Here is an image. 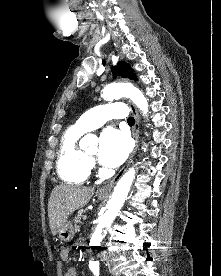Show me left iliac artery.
Here are the masks:
<instances>
[{
    "mask_svg": "<svg viewBox=\"0 0 221 276\" xmlns=\"http://www.w3.org/2000/svg\"><path fill=\"white\" fill-rule=\"evenodd\" d=\"M92 271L95 274V276H99V269L98 268H94V269H92Z\"/></svg>",
    "mask_w": 221,
    "mask_h": 276,
    "instance_id": "obj_1",
    "label": "left iliac artery"
}]
</instances>
